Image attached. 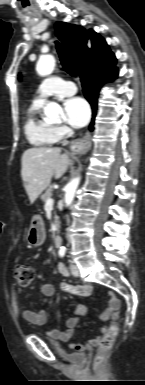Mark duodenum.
I'll list each match as a JSON object with an SVG mask.
<instances>
[{
    "mask_svg": "<svg viewBox=\"0 0 145 385\" xmlns=\"http://www.w3.org/2000/svg\"><path fill=\"white\" fill-rule=\"evenodd\" d=\"M54 243H55V246H56L57 248H59V247L61 246L62 239H61V236H60V235H56V236H55Z\"/></svg>",
    "mask_w": 145,
    "mask_h": 385,
    "instance_id": "410a0bca",
    "label": "duodenum"
}]
</instances>
